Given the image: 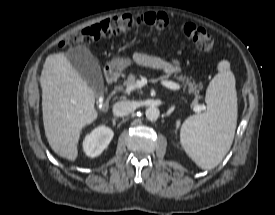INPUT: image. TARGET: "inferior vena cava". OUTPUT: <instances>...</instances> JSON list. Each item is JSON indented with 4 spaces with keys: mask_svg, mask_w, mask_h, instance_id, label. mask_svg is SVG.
<instances>
[{
    "mask_svg": "<svg viewBox=\"0 0 275 215\" xmlns=\"http://www.w3.org/2000/svg\"><path fill=\"white\" fill-rule=\"evenodd\" d=\"M135 110V106L131 101H120L114 104L113 114L117 117L129 115Z\"/></svg>",
    "mask_w": 275,
    "mask_h": 215,
    "instance_id": "inferior-vena-cava-1",
    "label": "inferior vena cava"
}]
</instances>
